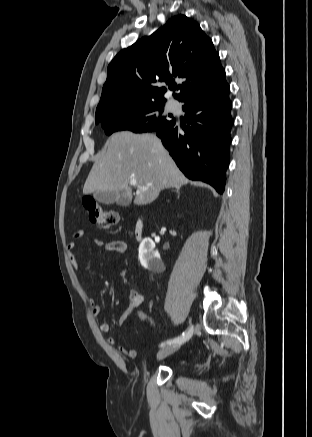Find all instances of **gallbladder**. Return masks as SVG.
Instances as JSON below:
<instances>
[{
	"instance_id": "gallbladder-1",
	"label": "gallbladder",
	"mask_w": 312,
	"mask_h": 437,
	"mask_svg": "<svg viewBox=\"0 0 312 437\" xmlns=\"http://www.w3.org/2000/svg\"><path fill=\"white\" fill-rule=\"evenodd\" d=\"M94 198L96 201L103 204H112L117 201L119 205L127 206L130 202L127 198H117V195L114 192H96Z\"/></svg>"
}]
</instances>
